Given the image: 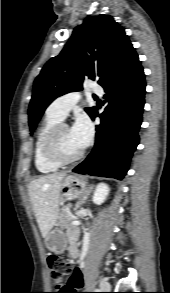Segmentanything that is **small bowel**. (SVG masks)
Segmentation results:
<instances>
[{
  "label": "small bowel",
  "mask_w": 170,
  "mask_h": 293,
  "mask_svg": "<svg viewBox=\"0 0 170 293\" xmlns=\"http://www.w3.org/2000/svg\"><path fill=\"white\" fill-rule=\"evenodd\" d=\"M78 238V231L75 229H72L68 232V239L71 242H75ZM71 286L74 288H83L85 286V280H84V268L82 265L75 268L74 276L71 279L70 282Z\"/></svg>",
  "instance_id": "small-bowel-1"
}]
</instances>
